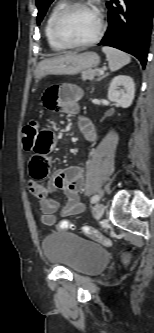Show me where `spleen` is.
Instances as JSON below:
<instances>
[{"mask_svg":"<svg viewBox=\"0 0 154 333\" xmlns=\"http://www.w3.org/2000/svg\"><path fill=\"white\" fill-rule=\"evenodd\" d=\"M102 51L105 53L109 63V69L115 72L131 62V57L118 49L104 46Z\"/></svg>","mask_w":154,"mask_h":333,"instance_id":"obj_1","label":"spleen"}]
</instances>
